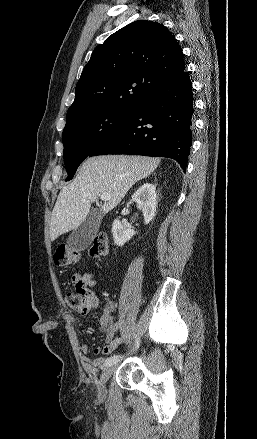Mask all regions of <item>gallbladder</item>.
<instances>
[{"label":"gallbladder","instance_id":"1","mask_svg":"<svg viewBox=\"0 0 257 439\" xmlns=\"http://www.w3.org/2000/svg\"><path fill=\"white\" fill-rule=\"evenodd\" d=\"M101 219V213L97 209H92L85 221L69 235L67 239L68 246L78 251L88 248L98 231Z\"/></svg>","mask_w":257,"mask_h":439}]
</instances>
